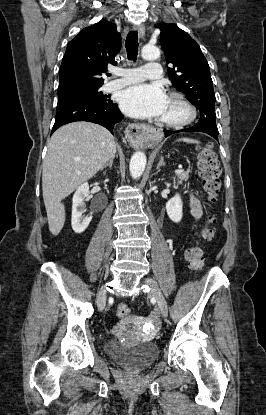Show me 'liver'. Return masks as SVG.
<instances>
[{
	"mask_svg": "<svg viewBox=\"0 0 266 415\" xmlns=\"http://www.w3.org/2000/svg\"><path fill=\"white\" fill-rule=\"evenodd\" d=\"M115 153L113 135L100 125L73 122L55 131L42 171L43 200L53 235H58L65 223L61 201L91 179Z\"/></svg>",
	"mask_w": 266,
	"mask_h": 415,
	"instance_id": "1",
	"label": "liver"
}]
</instances>
